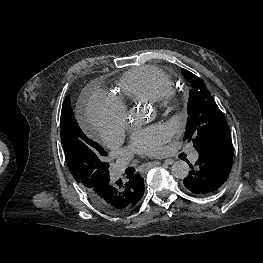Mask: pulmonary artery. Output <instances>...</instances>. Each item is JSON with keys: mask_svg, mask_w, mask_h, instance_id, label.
<instances>
[{"mask_svg": "<svg viewBox=\"0 0 263 263\" xmlns=\"http://www.w3.org/2000/svg\"><path fill=\"white\" fill-rule=\"evenodd\" d=\"M198 159V153L193 150L190 153V160L192 162H195ZM128 164V159L127 158H122L120 160L117 161L115 167H114V175L115 177H118L121 172L124 170V168L126 167V165Z\"/></svg>", "mask_w": 263, "mask_h": 263, "instance_id": "pulmonary-artery-1", "label": "pulmonary artery"}]
</instances>
